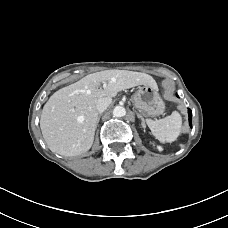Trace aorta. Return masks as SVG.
<instances>
[{
  "label": "aorta",
  "instance_id": "762f6f07",
  "mask_svg": "<svg viewBox=\"0 0 228 228\" xmlns=\"http://www.w3.org/2000/svg\"><path fill=\"white\" fill-rule=\"evenodd\" d=\"M126 115V110L124 107L116 106L113 110L114 117H123Z\"/></svg>",
  "mask_w": 228,
  "mask_h": 228
}]
</instances>
